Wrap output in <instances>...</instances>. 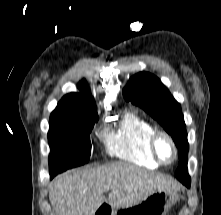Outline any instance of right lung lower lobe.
I'll use <instances>...</instances> for the list:
<instances>
[{"instance_id": "obj_1", "label": "right lung lower lobe", "mask_w": 221, "mask_h": 215, "mask_svg": "<svg viewBox=\"0 0 221 215\" xmlns=\"http://www.w3.org/2000/svg\"><path fill=\"white\" fill-rule=\"evenodd\" d=\"M54 177V175H50V178L52 179Z\"/></svg>"}]
</instances>
